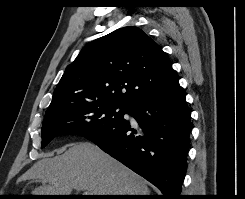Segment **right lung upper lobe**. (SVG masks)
<instances>
[{"label": "right lung upper lobe", "mask_w": 245, "mask_h": 199, "mask_svg": "<svg viewBox=\"0 0 245 199\" xmlns=\"http://www.w3.org/2000/svg\"><path fill=\"white\" fill-rule=\"evenodd\" d=\"M178 83L161 47L131 26L88 43L67 66L45 116L88 103L129 106Z\"/></svg>", "instance_id": "cb5924a9"}]
</instances>
